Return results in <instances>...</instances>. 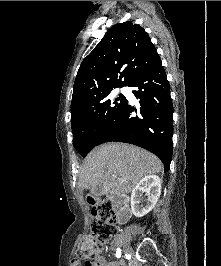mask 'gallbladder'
I'll return each mask as SVG.
<instances>
[{
	"label": "gallbladder",
	"mask_w": 221,
	"mask_h": 266,
	"mask_svg": "<svg viewBox=\"0 0 221 266\" xmlns=\"http://www.w3.org/2000/svg\"><path fill=\"white\" fill-rule=\"evenodd\" d=\"M91 195L94 197L102 196L105 192L102 184L97 185L95 188L91 189Z\"/></svg>",
	"instance_id": "bac80fb5"
}]
</instances>
